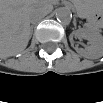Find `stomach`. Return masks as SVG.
Segmentation results:
<instances>
[{"instance_id": "stomach-1", "label": "stomach", "mask_w": 103, "mask_h": 103, "mask_svg": "<svg viewBox=\"0 0 103 103\" xmlns=\"http://www.w3.org/2000/svg\"><path fill=\"white\" fill-rule=\"evenodd\" d=\"M91 6H93V4L89 2H82L79 4V7L90 8Z\"/></svg>"}]
</instances>
